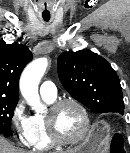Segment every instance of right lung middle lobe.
<instances>
[{"mask_svg":"<svg viewBox=\"0 0 130 153\" xmlns=\"http://www.w3.org/2000/svg\"><path fill=\"white\" fill-rule=\"evenodd\" d=\"M17 100L0 98V133L12 136L11 119L14 109L17 105Z\"/></svg>","mask_w":130,"mask_h":153,"instance_id":"dd1d6c3e","label":"right lung middle lobe"}]
</instances>
